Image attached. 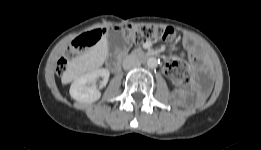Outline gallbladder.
<instances>
[{
    "label": "gallbladder",
    "mask_w": 261,
    "mask_h": 150,
    "mask_svg": "<svg viewBox=\"0 0 261 150\" xmlns=\"http://www.w3.org/2000/svg\"><path fill=\"white\" fill-rule=\"evenodd\" d=\"M107 42L109 51L112 53L120 52L127 47V42L121 31L110 30L107 34Z\"/></svg>",
    "instance_id": "gallbladder-1"
}]
</instances>
